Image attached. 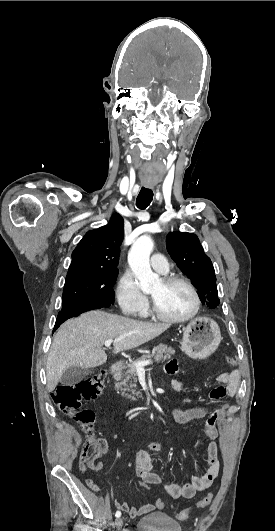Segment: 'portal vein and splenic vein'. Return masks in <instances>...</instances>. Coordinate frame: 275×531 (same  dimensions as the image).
Returning a JSON list of instances; mask_svg holds the SVG:
<instances>
[{"label":"portal vein and splenic vein","instance_id":"obj_1","mask_svg":"<svg viewBox=\"0 0 275 531\" xmlns=\"http://www.w3.org/2000/svg\"><path fill=\"white\" fill-rule=\"evenodd\" d=\"M117 341H120V339H114V341H105L104 345L105 347H111L112 343H117ZM151 361H138V363H134L136 369H144L146 365H150Z\"/></svg>","mask_w":275,"mask_h":531}]
</instances>
